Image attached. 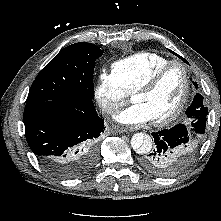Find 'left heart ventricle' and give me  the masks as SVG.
<instances>
[{
  "mask_svg": "<svg viewBox=\"0 0 221 221\" xmlns=\"http://www.w3.org/2000/svg\"><path fill=\"white\" fill-rule=\"evenodd\" d=\"M184 84L182 69L179 66H173L152 91L137 94L132 101L143 105L152 120L160 119L177 106L184 91Z\"/></svg>",
  "mask_w": 221,
  "mask_h": 221,
  "instance_id": "obj_1",
  "label": "left heart ventricle"
}]
</instances>
